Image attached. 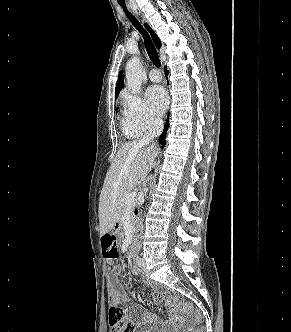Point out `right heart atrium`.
I'll use <instances>...</instances> for the list:
<instances>
[{"label":"right heart atrium","mask_w":291,"mask_h":332,"mask_svg":"<svg viewBox=\"0 0 291 332\" xmlns=\"http://www.w3.org/2000/svg\"><path fill=\"white\" fill-rule=\"evenodd\" d=\"M126 123L140 134L150 132L160 125L148 103L139 95L124 94Z\"/></svg>","instance_id":"obj_1"}]
</instances>
